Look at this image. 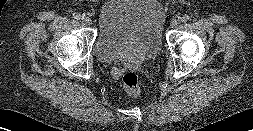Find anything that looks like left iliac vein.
<instances>
[{
  "mask_svg": "<svg viewBox=\"0 0 253 131\" xmlns=\"http://www.w3.org/2000/svg\"><path fill=\"white\" fill-rule=\"evenodd\" d=\"M179 23H180L179 20L174 19V20L171 22L170 26H171V28H176V27L179 25Z\"/></svg>",
  "mask_w": 253,
  "mask_h": 131,
  "instance_id": "obj_1",
  "label": "left iliac vein"
}]
</instances>
